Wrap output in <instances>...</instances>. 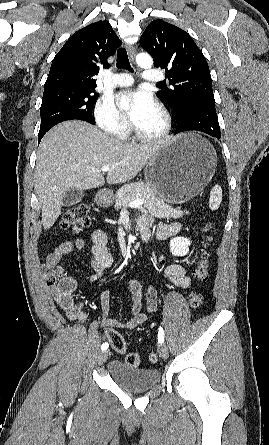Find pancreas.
<instances>
[{"instance_id": "cf45deb5", "label": "pancreas", "mask_w": 269, "mask_h": 445, "mask_svg": "<svg viewBox=\"0 0 269 445\" xmlns=\"http://www.w3.org/2000/svg\"><path fill=\"white\" fill-rule=\"evenodd\" d=\"M143 182L126 184L121 187L115 196V209L126 208L130 202L136 199H144V207L154 216L158 218H174L178 219L189 214L186 210L180 208L174 209L165 201L157 196L153 191L144 189Z\"/></svg>"}]
</instances>
